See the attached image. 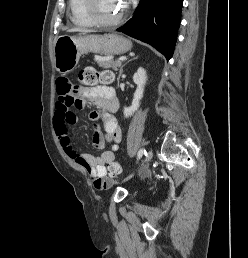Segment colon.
I'll use <instances>...</instances> for the list:
<instances>
[{
	"label": "colon",
	"mask_w": 248,
	"mask_h": 258,
	"mask_svg": "<svg viewBox=\"0 0 248 258\" xmlns=\"http://www.w3.org/2000/svg\"><path fill=\"white\" fill-rule=\"evenodd\" d=\"M112 75L108 71L99 72L94 68H85L79 74L78 82L79 86L72 89L74 96H78L81 87L95 86L100 83L105 84L110 82ZM121 174V168L118 163L114 162L109 167V177L115 179Z\"/></svg>",
	"instance_id": "colon-1"
}]
</instances>
